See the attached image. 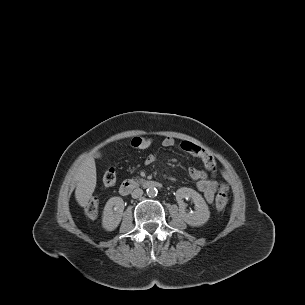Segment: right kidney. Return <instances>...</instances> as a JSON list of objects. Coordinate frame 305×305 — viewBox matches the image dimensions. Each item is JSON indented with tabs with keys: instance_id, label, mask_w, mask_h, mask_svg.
<instances>
[{
	"instance_id": "obj_1",
	"label": "right kidney",
	"mask_w": 305,
	"mask_h": 305,
	"mask_svg": "<svg viewBox=\"0 0 305 305\" xmlns=\"http://www.w3.org/2000/svg\"><path fill=\"white\" fill-rule=\"evenodd\" d=\"M124 201L121 197L110 198L104 207L102 226L107 231L115 230L122 219Z\"/></svg>"
}]
</instances>
